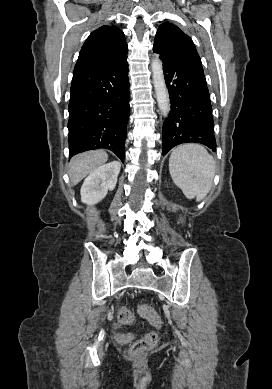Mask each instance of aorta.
I'll use <instances>...</instances> for the list:
<instances>
[{
  "label": "aorta",
  "mask_w": 272,
  "mask_h": 389,
  "mask_svg": "<svg viewBox=\"0 0 272 389\" xmlns=\"http://www.w3.org/2000/svg\"><path fill=\"white\" fill-rule=\"evenodd\" d=\"M153 73V85L155 89L158 107L164 116H168L170 111V103L168 97V90L166 87L162 62L159 56H156L151 63Z\"/></svg>",
  "instance_id": "1"
}]
</instances>
